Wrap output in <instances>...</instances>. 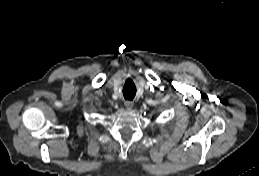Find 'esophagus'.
<instances>
[{"mask_svg":"<svg viewBox=\"0 0 259 176\" xmlns=\"http://www.w3.org/2000/svg\"><path fill=\"white\" fill-rule=\"evenodd\" d=\"M124 105L126 108L131 109V108H133L134 103L132 101L127 100L124 102Z\"/></svg>","mask_w":259,"mask_h":176,"instance_id":"obj_1","label":"esophagus"}]
</instances>
